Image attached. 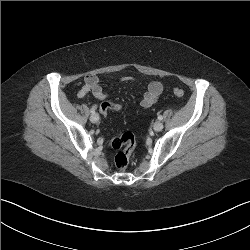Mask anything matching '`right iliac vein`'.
I'll return each mask as SVG.
<instances>
[{"mask_svg": "<svg viewBox=\"0 0 250 250\" xmlns=\"http://www.w3.org/2000/svg\"><path fill=\"white\" fill-rule=\"evenodd\" d=\"M90 121H91L92 123L98 122V121H99V115L96 114V113L92 114V115L90 116Z\"/></svg>", "mask_w": 250, "mask_h": 250, "instance_id": "1", "label": "right iliac vein"}]
</instances>
